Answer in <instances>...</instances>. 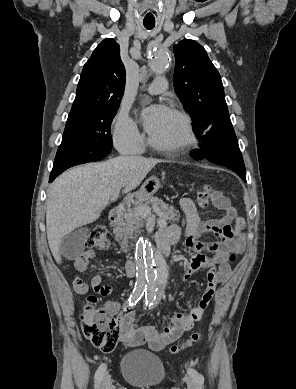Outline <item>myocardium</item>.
<instances>
[{
    "mask_svg": "<svg viewBox=\"0 0 296 389\" xmlns=\"http://www.w3.org/2000/svg\"><path fill=\"white\" fill-rule=\"evenodd\" d=\"M170 112L175 114L181 120L183 125V132H184L183 138L180 141L175 143L163 144L157 142L156 140L153 139L152 136H150L149 143L153 148L157 150L167 152V153H178L192 146L196 140V137H195L192 120L186 112L177 108L170 109Z\"/></svg>",
    "mask_w": 296,
    "mask_h": 389,
    "instance_id": "myocardium-1",
    "label": "myocardium"
}]
</instances>
